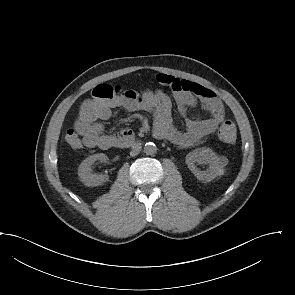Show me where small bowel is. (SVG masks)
I'll return each mask as SVG.
<instances>
[{
	"instance_id": "small-bowel-1",
	"label": "small bowel",
	"mask_w": 295,
	"mask_h": 295,
	"mask_svg": "<svg viewBox=\"0 0 295 295\" xmlns=\"http://www.w3.org/2000/svg\"><path fill=\"white\" fill-rule=\"evenodd\" d=\"M156 78L161 85L172 90L173 99L183 117H186L187 109L194 107L198 101H201L209 117L205 119L186 118V129L181 131L173 123L172 101L166 93L160 89H148L143 92L129 90L111 101L94 103L88 109L82 107L74 127L66 133L69 146L72 149L85 146L107 150L115 147V141L120 135L132 134L128 129L117 134L104 132L100 121L108 120L112 115V109L117 107L129 111L152 112L155 119L153 134L159 139L168 140L179 148L197 145L203 138L214 133L224 122L223 105L212 90L168 74H158Z\"/></svg>"
}]
</instances>
